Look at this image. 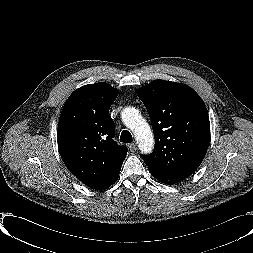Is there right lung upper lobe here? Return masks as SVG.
Here are the masks:
<instances>
[{
  "instance_id": "1",
  "label": "right lung upper lobe",
  "mask_w": 253,
  "mask_h": 253,
  "mask_svg": "<svg viewBox=\"0 0 253 253\" xmlns=\"http://www.w3.org/2000/svg\"><path fill=\"white\" fill-rule=\"evenodd\" d=\"M118 91L105 82L76 89L66 101L57 140L68 170L95 190L110 187L119 177L127 149L113 141L109 114Z\"/></svg>"
}]
</instances>
